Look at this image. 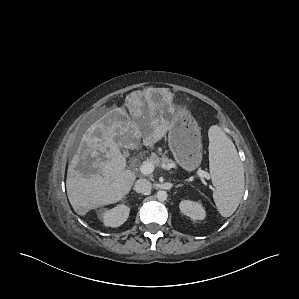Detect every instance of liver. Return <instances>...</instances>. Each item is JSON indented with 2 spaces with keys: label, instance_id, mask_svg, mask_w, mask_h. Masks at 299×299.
I'll use <instances>...</instances> for the list:
<instances>
[{
  "label": "liver",
  "instance_id": "obj_1",
  "mask_svg": "<svg viewBox=\"0 0 299 299\" xmlns=\"http://www.w3.org/2000/svg\"><path fill=\"white\" fill-rule=\"evenodd\" d=\"M127 106L132 119L125 107L109 110L86 130L69 162L66 190L78 215L118 202L130 192L136 175L125 169L120 147L136 149L141 137L152 147L168 130L169 123L152 99L144 103L129 98Z\"/></svg>",
  "mask_w": 299,
  "mask_h": 299
}]
</instances>
